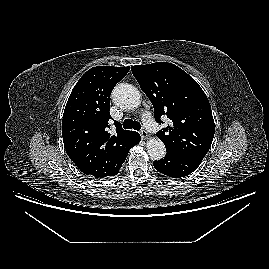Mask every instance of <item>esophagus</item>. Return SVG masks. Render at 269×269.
Here are the masks:
<instances>
[{"mask_svg":"<svg viewBox=\"0 0 269 269\" xmlns=\"http://www.w3.org/2000/svg\"><path fill=\"white\" fill-rule=\"evenodd\" d=\"M140 135H141V138H142L143 140H146V139H148V137H149L148 132H147L145 129H142V130L140 131Z\"/></svg>","mask_w":269,"mask_h":269,"instance_id":"1","label":"esophagus"}]
</instances>
